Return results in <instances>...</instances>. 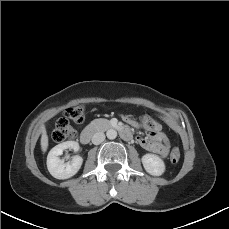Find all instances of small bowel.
I'll use <instances>...</instances> for the list:
<instances>
[{"label":"small bowel","instance_id":"obj_1","mask_svg":"<svg viewBox=\"0 0 229 229\" xmlns=\"http://www.w3.org/2000/svg\"><path fill=\"white\" fill-rule=\"evenodd\" d=\"M141 120L144 126L145 122L152 121L153 128L148 129L146 136H138L137 142L143 149L165 158L169 152L170 145L167 136L161 131V125L149 116H143ZM127 122L134 125L131 119H127Z\"/></svg>","mask_w":229,"mask_h":229}]
</instances>
